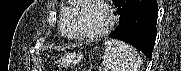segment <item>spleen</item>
Returning a JSON list of instances; mask_svg holds the SVG:
<instances>
[{"label": "spleen", "mask_w": 181, "mask_h": 71, "mask_svg": "<svg viewBox=\"0 0 181 71\" xmlns=\"http://www.w3.org/2000/svg\"><path fill=\"white\" fill-rule=\"evenodd\" d=\"M102 57V71H138L141 57L135 48L119 41H105Z\"/></svg>", "instance_id": "spleen-1"}]
</instances>
